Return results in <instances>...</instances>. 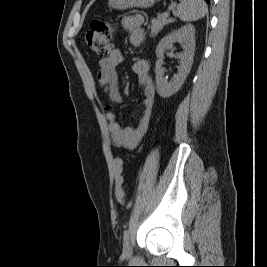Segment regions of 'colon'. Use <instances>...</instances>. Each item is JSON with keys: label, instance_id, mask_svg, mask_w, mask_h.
I'll list each match as a JSON object with an SVG mask.
<instances>
[{"label": "colon", "instance_id": "colon-1", "mask_svg": "<svg viewBox=\"0 0 267 267\" xmlns=\"http://www.w3.org/2000/svg\"><path fill=\"white\" fill-rule=\"evenodd\" d=\"M115 25L105 20H94L90 25L86 41L89 48L101 57H107L112 51V39ZM115 174V197L119 203H124L125 193L123 190L122 171L124 162L117 157L113 162Z\"/></svg>", "mask_w": 267, "mask_h": 267}]
</instances>
